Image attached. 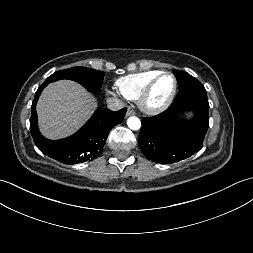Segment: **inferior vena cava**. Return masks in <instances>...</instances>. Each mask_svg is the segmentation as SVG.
Listing matches in <instances>:
<instances>
[{
	"label": "inferior vena cava",
	"instance_id": "602c4592",
	"mask_svg": "<svg viewBox=\"0 0 253 253\" xmlns=\"http://www.w3.org/2000/svg\"><path fill=\"white\" fill-rule=\"evenodd\" d=\"M107 107L110 110L116 111L124 107L123 102L118 98H109L107 100Z\"/></svg>",
	"mask_w": 253,
	"mask_h": 253
}]
</instances>
